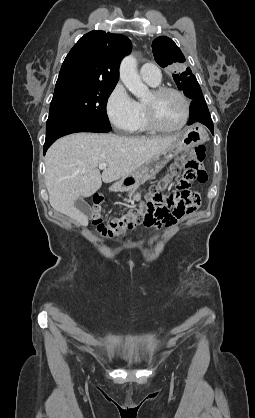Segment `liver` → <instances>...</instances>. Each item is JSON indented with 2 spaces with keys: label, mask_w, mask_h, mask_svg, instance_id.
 Instances as JSON below:
<instances>
[{
  "label": "liver",
  "mask_w": 255,
  "mask_h": 418,
  "mask_svg": "<svg viewBox=\"0 0 255 418\" xmlns=\"http://www.w3.org/2000/svg\"><path fill=\"white\" fill-rule=\"evenodd\" d=\"M180 134L162 138L121 137L115 134L75 133L57 140L45 156V184L54 210L87 225L76 208L109 183L131 175L153 156L169 148ZM106 163L102 174L98 166Z\"/></svg>",
  "instance_id": "1"
}]
</instances>
